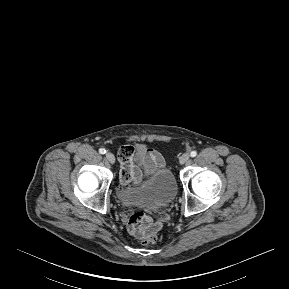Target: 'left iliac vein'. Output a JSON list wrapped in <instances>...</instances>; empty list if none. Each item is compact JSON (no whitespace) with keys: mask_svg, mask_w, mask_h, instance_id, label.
Here are the masks:
<instances>
[{"mask_svg":"<svg viewBox=\"0 0 289 289\" xmlns=\"http://www.w3.org/2000/svg\"><path fill=\"white\" fill-rule=\"evenodd\" d=\"M190 156L188 153L183 154L180 159H179V163L180 164H185L188 160H189Z\"/></svg>","mask_w":289,"mask_h":289,"instance_id":"left-iliac-vein-1","label":"left iliac vein"}]
</instances>
